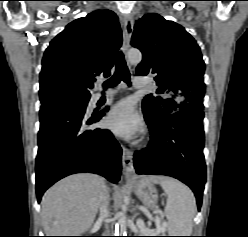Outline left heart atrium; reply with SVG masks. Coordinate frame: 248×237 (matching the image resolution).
I'll return each mask as SVG.
<instances>
[{"label":"left heart atrium","mask_w":248,"mask_h":237,"mask_svg":"<svg viewBox=\"0 0 248 237\" xmlns=\"http://www.w3.org/2000/svg\"><path fill=\"white\" fill-rule=\"evenodd\" d=\"M106 126L120 137L133 139L142 130V120L131 102L121 101L109 111Z\"/></svg>","instance_id":"obj_1"}]
</instances>
